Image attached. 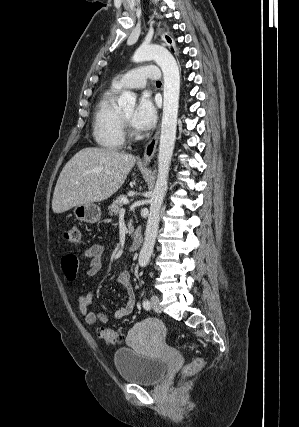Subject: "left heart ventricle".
<instances>
[{
  "label": "left heart ventricle",
  "mask_w": 299,
  "mask_h": 427,
  "mask_svg": "<svg viewBox=\"0 0 299 427\" xmlns=\"http://www.w3.org/2000/svg\"><path fill=\"white\" fill-rule=\"evenodd\" d=\"M122 115L128 120L130 121L133 115V110H126L122 112Z\"/></svg>",
  "instance_id": "left-heart-ventricle-1"
}]
</instances>
